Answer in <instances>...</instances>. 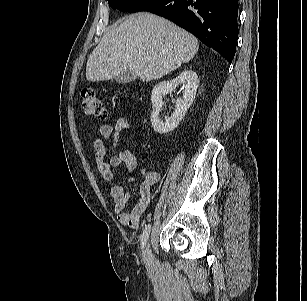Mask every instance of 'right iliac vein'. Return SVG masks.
<instances>
[{
  "label": "right iliac vein",
  "instance_id": "right-iliac-vein-1",
  "mask_svg": "<svg viewBox=\"0 0 307 301\" xmlns=\"http://www.w3.org/2000/svg\"><path fill=\"white\" fill-rule=\"evenodd\" d=\"M144 262L147 266L152 267L155 265V258L151 251L150 244L148 243L143 251Z\"/></svg>",
  "mask_w": 307,
  "mask_h": 301
}]
</instances>
